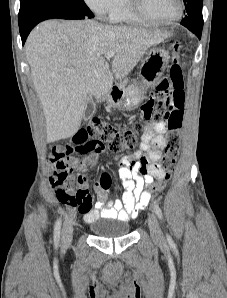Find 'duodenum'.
Returning <instances> with one entry per match:
<instances>
[{
  "label": "duodenum",
  "instance_id": "410a0bca",
  "mask_svg": "<svg viewBox=\"0 0 227 298\" xmlns=\"http://www.w3.org/2000/svg\"><path fill=\"white\" fill-rule=\"evenodd\" d=\"M110 93L113 95V96H117L120 94V89L118 87H113L110 91Z\"/></svg>",
  "mask_w": 227,
  "mask_h": 298
}]
</instances>
